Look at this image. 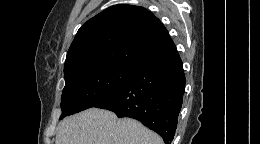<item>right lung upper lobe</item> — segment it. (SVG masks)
I'll use <instances>...</instances> for the list:
<instances>
[{
  "mask_svg": "<svg viewBox=\"0 0 260 144\" xmlns=\"http://www.w3.org/2000/svg\"><path fill=\"white\" fill-rule=\"evenodd\" d=\"M175 50L168 31L150 11L115 5L78 30L67 53L64 73L102 64L136 69Z\"/></svg>",
  "mask_w": 260,
  "mask_h": 144,
  "instance_id": "right-lung-upper-lobe-1",
  "label": "right lung upper lobe"
}]
</instances>
